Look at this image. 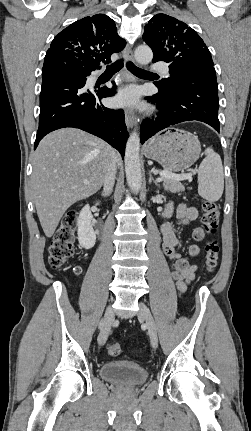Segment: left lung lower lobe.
Returning <instances> with one entry per match:
<instances>
[{"label":"left lung lower lobe","mask_w":251,"mask_h":431,"mask_svg":"<svg viewBox=\"0 0 251 431\" xmlns=\"http://www.w3.org/2000/svg\"><path fill=\"white\" fill-rule=\"evenodd\" d=\"M159 92L149 101L160 110L155 120H145L141 125L140 139L143 144L157 132L180 122L197 120L212 126L219 132L217 81L198 77L182 79L171 90H165L155 82Z\"/></svg>","instance_id":"1"}]
</instances>
